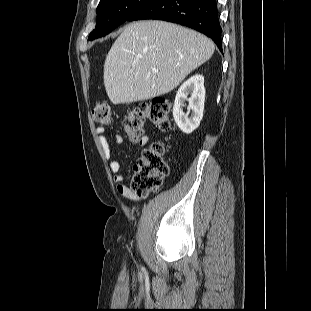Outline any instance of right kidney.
<instances>
[{"label": "right kidney", "mask_w": 311, "mask_h": 311, "mask_svg": "<svg viewBox=\"0 0 311 311\" xmlns=\"http://www.w3.org/2000/svg\"><path fill=\"white\" fill-rule=\"evenodd\" d=\"M189 94L191 96L187 98ZM185 101L189 102L188 109L192 110L190 117L183 112ZM204 101L205 88L202 75L196 74L190 77L178 89L173 106V117L183 133L190 134L198 128L203 117Z\"/></svg>", "instance_id": "ca27d5eb"}]
</instances>
